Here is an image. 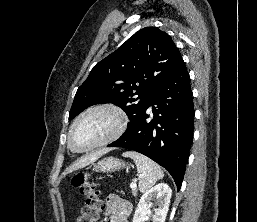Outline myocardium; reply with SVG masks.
I'll use <instances>...</instances> for the list:
<instances>
[{"mask_svg":"<svg viewBox=\"0 0 257 222\" xmlns=\"http://www.w3.org/2000/svg\"><path fill=\"white\" fill-rule=\"evenodd\" d=\"M97 111H104V112L111 113L116 119L115 129L105 139L94 144L93 146H90L85 149H77L73 145V142H72V133H73L75 126L83 117H85L86 115H88L90 113L97 112ZM127 124H128V115H127L126 111L118 104L113 103V102H103V103H98V104L92 105V106L88 107L87 109H85L84 111H82L75 118L73 123L71 124L69 131H68V137H67L68 145H69L70 149L76 153H86V152L92 151L94 149L106 146V145L116 141L117 139H119L125 132V130L127 128Z\"/></svg>","mask_w":257,"mask_h":222,"instance_id":"f54148a6","label":"myocardium"}]
</instances>
